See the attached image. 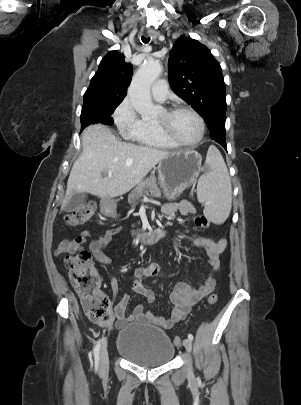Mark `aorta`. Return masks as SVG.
Wrapping results in <instances>:
<instances>
[{
	"label": "aorta",
	"mask_w": 301,
	"mask_h": 405,
	"mask_svg": "<svg viewBox=\"0 0 301 405\" xmlns=\"http://www.w3.org/2000/svg\"><path fill=\"white\" fill-rule=\"evenodd\" d=\"M161 72L160 62L149 59L142 64L132 78L128 95L132 106L142 116L151 115L156 111L152 103L150 88Z\"/></svg>",
	"instance_id": "obj_1"
}]
</instances>
